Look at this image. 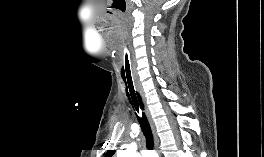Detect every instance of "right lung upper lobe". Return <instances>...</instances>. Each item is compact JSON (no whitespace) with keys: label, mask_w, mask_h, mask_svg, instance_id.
Wrapping results in <instances>:
<instances>
[{"label":"right lung upper lobe","mask_w":264,"mask_h":157,"mask_svg":"<svg viewBox=\"0 0 264 157\" xmlns=\"http://www.w3.org/2000/svg\"><path fill=\"white\" fill-rule=\"evenodd\" d=\"M113 154H114L113 150H108L107 154H106V157H112Z\"/></svg>","instance_id":"cb5924a9"}]
</instances>
